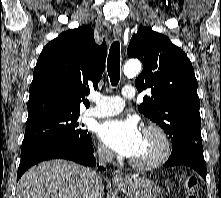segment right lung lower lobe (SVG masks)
Returning a JSON list of instances; mask_svg holds the SVG:
<instances>
[{
	"mask_svg": "<svg viewBox=\"0 0 221 198\" xmlns=\"http://www.w3.org/2000/svg\"><path fill=\"white\" fill-rule=\"evenodd\" d=\"M49 159H68L83 165L95 166L92 139L78 142L68 139H54L36 144L21 152L17 180L31 166ZM99 170H104L99 167Z\"/></svg>",
	"mask_w": 221,
	"mask_h": 198,
	"instance_id": "obj_1",
	"label": "right lung lower lobe"
}]
</instances>
